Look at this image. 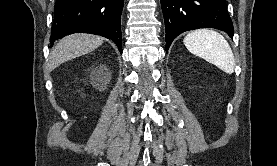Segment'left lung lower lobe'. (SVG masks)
<instances>
[{
    "instance_id": "obj_1",
    "label": "left lung lower lobe",
    "mask_w": 277,
    "mask_h": 166,
    "mask_svg": "<svg viewBox=\"0 0 277 166\" xmlns=\"http://www.w3.org/2000/svg\"><path fill=\"white\" fill-rule=\"evenodd\" d=\"M161 6L167 49L179 34L198 28L219 29L233 37L225 0H161Z\"/></svg>"
}]
</instances>
